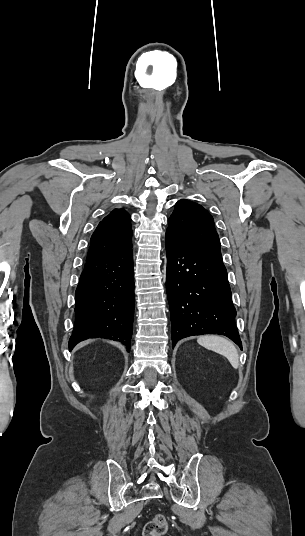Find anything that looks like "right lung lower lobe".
I'll return each instance as SVG.
<instances>
[{"mask_svg": "<svg viewBox=\"0 0 305 536\" xmlns=\"http://www.w3.org/2000/svg\"><path fill=\"white\" fill-rule=\"evenodd\" d=\"M75 300L70 350L84 339L101 337L119 341L129 351L135 301L132 247L86 261Z\"/></svg>", "mask_w": 305, "mask_h": 536, "instance_id": "98d812e1", "label": "right lung lower lobe"}]
</instances>
